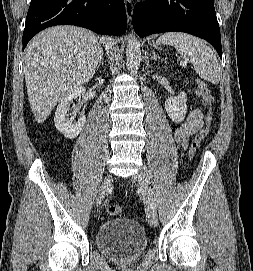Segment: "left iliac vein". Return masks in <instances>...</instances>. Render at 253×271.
Wrapping results in <instances>:
<instances>
[{
  "instance_id": "obj_1",
  "label": "left iliac vein",
  "mask_w": 253,
  "mask_h": 271,
  "mask_svg": "<svg viewBox=\"0 0 253 271\" xmlns=\"http://www.w3.org/2000/svg\"><path fill=\"white\" fill-rule=\"evenodd\" d=\"M133 179L138 182L142 189V193L145 200L146 206V217L148 223L155 227L158 224V215L155 205L152 203L149 195V176L145 167L140 168V170L133 175Z\"/></svg>"
}]
</instances>
